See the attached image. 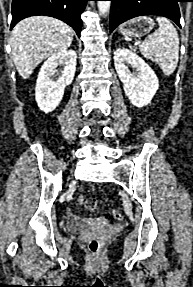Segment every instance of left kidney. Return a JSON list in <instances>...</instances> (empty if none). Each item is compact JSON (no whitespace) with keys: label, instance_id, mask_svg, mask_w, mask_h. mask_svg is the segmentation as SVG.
I'll return each instance as SVG.
<instances>
[{"label":"left kidney","instance_id":"left-kidney-1","mask_svg":"<svg viewBox=\"0 0 193 287\" xmlns=\"http://www.w3.org/2000/svg\"><path fill=\"white\" fill-rule=\"evenodd\" d=\"M114 64L125 94L136 107L148 105L159 87V81L151 67L136 53L126 48L114 52ZM136 69L132 74L128 66Z\"/></svg>","mask_w":193,"mask_h":287}]
</instances>
